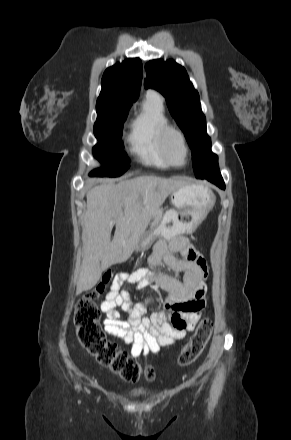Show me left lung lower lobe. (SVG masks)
Returning <instances> with one entry per match:
<instances>
[{"instance_id": "obj_1", "label": "left lung lower lobe", "mask_w": 291, "mask_h": 440, "mask_svg": "<svg viewBox=\"0 0 291 440\" xmlns=\"http://www.w3.org/2000/svg\"><path fill=\"white\" fill-rule=\"evenodd\" d=\"M203 179H206V180L214 183L218 187L225 189V184H224V181H223L222 176L219 171L214 174L205 176Z\"/></svg>"}]
</instances>
